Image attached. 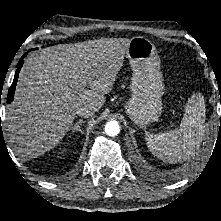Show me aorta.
Here are the masks:
<instances>
[{
    "label": "aorta",
    "instance_id": "1",
    "mask_svg": "<svg viewBox=\"0 0 221 221\" xmlns=\"http://www.w3.org/2000/svg\"><path fill=\"white\" fill-rule=\"evenodd\" d=\"M120 132V126L119 123L115 120L109 121L105 125V133L108 136L114 137L118 135Z\"/></svg>",
    "mask_w": 221,
    "mask_h": 221
}]
</instances>
